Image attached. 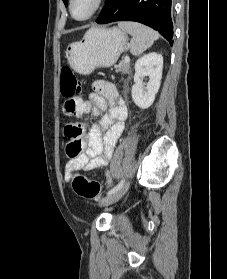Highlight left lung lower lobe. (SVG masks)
I'll use <instances>...</instances> for the list:
<instances>
[{
	"mask_svg": "<svg viewBox=\"0 0 227 279\" xmlns=\"http://www.w3.org/2000/svg\"><path fill=\"white\" fill-rule=\"evenodd\" d=\"M136 21L157 30L173 45L171 0H105L96 22Z\"/></svg>",
	"mask_w": 227,
	"mask_h": 279,
	"instance_id": "1",
	"label": "left lung lower lobe"
}]
</instances>
